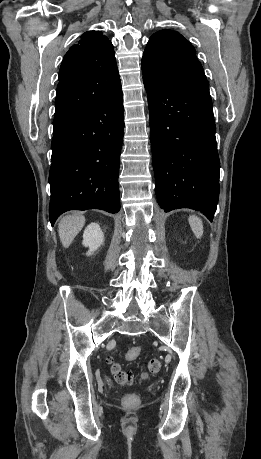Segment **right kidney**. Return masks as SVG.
Here are the masks:
<instances>
[{
	"label": "right kidney",
	"mask_w": 261,
	"mask_h": 459,
	"mask_svg": "<svg viewBox=\"0 0 261 459\" xmlns=\"http://www.w3.org/2000/svg\"><path fill=\"white\" fill-rule=\"evenodd\" d=\"M104 242V233L102 232L99 224H89L83 233V245L89 247L87 255L90 256L96 251Z\"/></svg>",
	"instance_id": "1"
}]
</instances>
